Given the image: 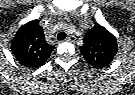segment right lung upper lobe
I'll return each instance as SVG.
<instances>
[{
  "mask_svg": "<svg viewBox=\"0 0 135 95\" xmlns=\"http://www.w3.org/2000/svg\"><path fill=\"white\" fill-rule=\"evenodd\" d=\"M10 48L21 65L34 69L41 67L48 60L54 46L46 42L39 20H33L17 31Z\"/></svg>",
  "mask_w": 135,
  "mask_h": 95,
  "instance_id": "right-lung-upper-lobe-1",
  "label": "right lung upper lobe"
}]
</instances>
